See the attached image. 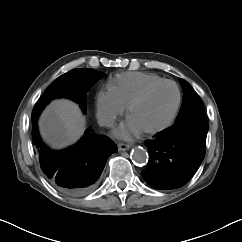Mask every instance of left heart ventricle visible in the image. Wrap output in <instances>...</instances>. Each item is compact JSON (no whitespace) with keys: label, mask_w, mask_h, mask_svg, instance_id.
<instances>
[{"label":"left heart ventricle","mask_w":242,"mask_h":242,"mask_svg":"<svg viewBox=\"0 0 242 242\" xmlns=\"http://www.w3.org/2000/svg\"><path fill=\"white\" fill-rule=\"evenodd\" d=\"M176 101L177 91L175 87L170 84L162 85L133 109L130 120L140 130L156 128L169 119Z\"/></svg>","instance_id":"b2bd125f"}]
</instances>
